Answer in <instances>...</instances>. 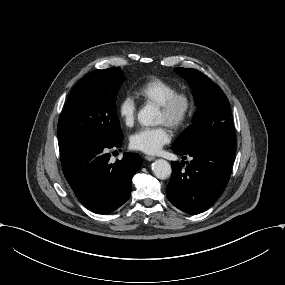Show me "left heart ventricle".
<instances>
[{"mask_svg":"<svg viewBox=\"0 0 285 285\" xmlns=\"http://www.w3.org/2000/svg\"><path fill=\"white\" fill-rule=\"evenodd\" d=\"M156 123L167 124V117L159 108H158L157 113H156Z\"/></svg>","mask_w":285,"mask_h":285,"instance_id":"1","label":"left heart ventricle"}]
</instances>
